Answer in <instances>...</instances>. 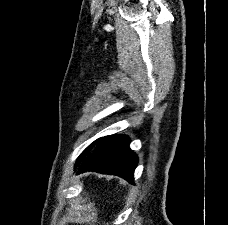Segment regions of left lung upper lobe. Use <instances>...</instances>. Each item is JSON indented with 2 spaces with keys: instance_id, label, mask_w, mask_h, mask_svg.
I'll list each match as a JSON object with an SVG mask.
<instances>
[{
  "instance_id": "1",
  "label": "left lung upper lobe",
  "mask_w": 228,
  "mask_h": 225,
  "mask_svg": "<svg viewBox=\"0 0 228 225\" xmlns=\"http://www.w3.org/2000/svg\"><path fill=\"white\" fill-rule=\"evenodd\" d=\"M99 141V139L95 140L91 145H89L83 152L82 154L78 157L77 162L75 164V166L78 165V163L85 158L86 156H88L91 151L93 150V148L95 147V145L97 144V142Z\"/></svg>"
}]
</instances>
